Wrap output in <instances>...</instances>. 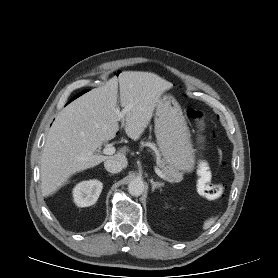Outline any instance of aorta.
Here are the masks:
<instances>
[{
	"instance_id": "obj_1",
	"label": "aorta",
	"mask_w": 278,
	"mask_h": 278,
	"mask_svg": "<svg viewBox=\"0 0 278 278\" xmlns=\"http://www.w3.org/2000/svg\"><path fill=\"white\" fill-rule=\"evenodd\" d=\"M143 191H144V183L140 179H134L130 181V183L128 184V192L132 196L138 197L142 195Z\"/></svg>"
}]
</instances>
